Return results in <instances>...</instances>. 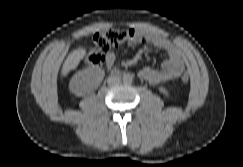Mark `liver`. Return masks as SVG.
<instances>
[{
    "instance_id": "obj_1",
    "label": "liver",
    "mask_w": 243,
    "mask_h": 167,
    "mask_svg": "<svg viewBox=\"0 0 243 167\" xmlns=\"http://www.w3.org/2000/svg\"><path fill=\"white\" fill-rule=\"evenodd\" d=\"M86 54L85 48H77L73 50L68 57L66 58L62 69H61V75L66 76L71 70H74L80 63L81 59Z\"/></svg>"
}]
</instances>
